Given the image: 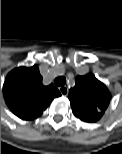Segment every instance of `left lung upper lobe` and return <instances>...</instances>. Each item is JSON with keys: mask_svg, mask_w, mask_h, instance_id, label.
Instances as JSON below:
<instances>
[{"mask_svg": "<svg viewBox=\"0 0 122 154\" xmlns=\"http://www.w3.org/2000/svg\"><path fill=\"white\" fill-rule=\"evenodd\" d=\"M75 81V86L69 91L74 115L85 122L98 121L111 99L107 87L93 74L77 76Z\"/></svg>", "mask_w": 122, "mask_h": 154, "instance_id": "obj_1", "label": "left lung upper lobe"}]
</instances>
